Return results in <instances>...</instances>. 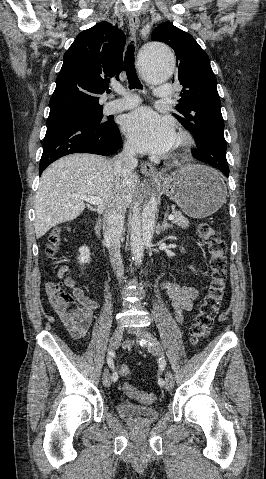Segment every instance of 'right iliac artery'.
I'll return each instance as SVG.
<instances>
[{"instance_id": "obj_1", "label": "right iliac artery", "mask_w": 266, "mask_h": 479, "mask_svg": "<svg viewBox=\"0 0 266 479\" xmlns=\"http://www.w3.org/2000/svg\"><path fill=\"white\" fill-rule=\"evenodd\" d=\"M112 355H113V352L110 351L108 353L107 363H108L109 367L114 370V363H113ZM117 380H118V375H117L116 372H114L113 375H112V381L116 382Z\"/></svg>"}]
</instances>
